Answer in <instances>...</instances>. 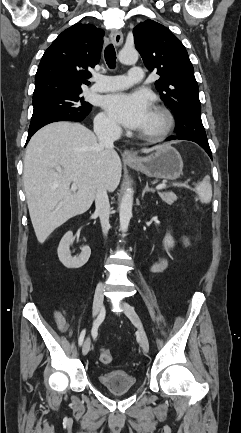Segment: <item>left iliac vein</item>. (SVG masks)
<instances>
[{"instance_id": "4c4485c4", "label": "left iliac vein", "mask_w": 241, "mask_h": 433, "mask_svg": "<svg viewBox=\"0 0 241 433\" xmlns=\"http://www.w3.org/2000/svg\"><path fill=\"white\" fill-rule=\"evenodd\" d=\"M122 307L124 309V313L126 314V316L138 328L140 338H141V347H142L143 351L147 354L149 352V340H148V336L144 330V327H143V324H142L140 317L138 316V314L136 313V311L134 310V308L130 304L123 302Z\"/></svg>"}]
</instances>
